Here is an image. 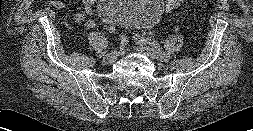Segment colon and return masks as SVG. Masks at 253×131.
Listing matches in <instances>:
<instances>
[{
    "instance_id": "obj_1",
    "label": "colon",
    "mask_w": 253,
    "mask_h": 131,
    "mask_svg": "<svg viewBox=\"0 0 253 131\" xmlns=\"http://www.w3.org/2000/svg\"><path fill=\"white\" fill-rule=\"evenodd\" d=\"M184 2L185 0H165L167 10H176ZM213 7L218 10L228 11L230 9V4L228 0H215ZM104 27L110 35L115 34L116 30L114 26L105 24Z\"/></svg>"
}]
</instances>
